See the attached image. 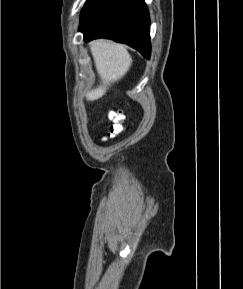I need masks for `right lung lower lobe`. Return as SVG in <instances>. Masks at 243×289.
<instances>
[{"mask_svg":"<svg viewBox=\"0 0 243 289\" xmlns=\"http://www.w3.org/2000/svg\"><path fill=\"white\" fill-rule=\"evenodd\" d=\"M79 30L85 41L113 39L150 58V18L144 0H88Z\"/></svg>","mask_w":243,"mask_h":289,"instance_id":"98d812e1","label":"right lung lower lobe"}]
</instances>
